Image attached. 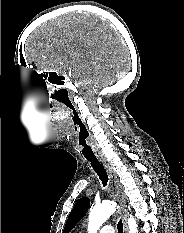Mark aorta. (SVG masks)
I'll return each instance as SVG.
<instances>
[{
    "label": "aorta",
    "mask_w": 184,
    "mask_h": 233,
    "mask_svg": "<svg viewBox=\"0 0 184 233\" xmlns=\"http://www.w3.org/2000/svg\"><path fill=\"white\" fill-rule=\"evenodd\" d=\"M117 204L105 201L94 206L89 214L88 233H97L102 224L115 212ZM129 233H138L136 220L130 215L128 218Z\"/></svg>",
    "instance_id": "762f6f07"
}]
</instances>
